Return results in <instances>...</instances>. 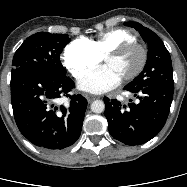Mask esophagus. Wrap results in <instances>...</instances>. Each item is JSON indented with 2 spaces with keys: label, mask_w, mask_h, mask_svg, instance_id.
<instances>
[{
  "label": "esophagus",
  "mask_w": 187,
  "mask_h": 187,
  "mask_svg": "<svg viewBox=\"0 0 187 187\" xmlns=\"http://www.w3.org/2000/svg\"><path fill=\"white\" fill-rule=\"evenodd\" d=\"M83 96L87 99V101L89 103H91L93 100L98 98L97 96L90 95V94H87V93H83Z\"/></svg>",
  "instance_id": "esophagus-1"
}]
</instances>
